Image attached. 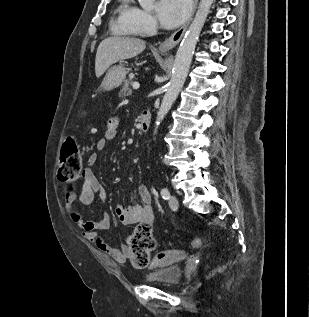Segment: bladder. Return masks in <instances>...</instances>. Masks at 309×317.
<instances>
[{
  "mask_svg": "<svg viewBox=\"0 0 309 317\" xmlns=\"http://www.w3.org/2000/svg\"><path fill=\"white\" fill-rule=\"evenodd\" d=\"M182 278V269L178 265H165L145 275L144 280L148 283L176 285Z\"/></svg>",
  "mask_w": 309,
  "mask_h": 317,
  "instance_id": "bladder-1",
  "label": "bladder"
}]
</instances>
